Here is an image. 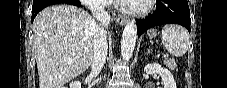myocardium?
<instances>
[{
    "label": "myocardium",
    "mask_w": 227,
    "mask_h": 88,
    "mask_svg": "<svg viewBox=\"0 0 227 88\" xmlns=\"http://www.w3.org/2000/svg\"><path fill=\"white\" fill-rule=\"evenodd\" d=\"M155 3V0H144L143 4H134L123 7L121 11L129 16H143L149 13Z\"/></svg>",
    "instance_id": "f54148a6"
}]
</instances>
